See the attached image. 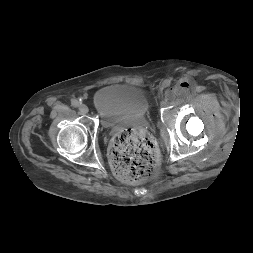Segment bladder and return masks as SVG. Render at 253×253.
Instances as JSON below:
<instances>
[{"label":"bladder","mask_w":253,"mask_h":253,"mask_svg":"<svg viewBox=\"0 0 253 253\" xmlns=\"http://www.w3.org/2000/svg\"><path fill=\"white\" fill-rule=\"evenodd\" d=\"M96 113L105 121L145 116L150 101L145 91L133 84L115 83L101 87L92 97Z\"/></svg>","instance_id":"obj_1"}]
</instances>
